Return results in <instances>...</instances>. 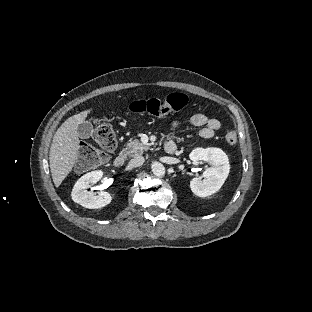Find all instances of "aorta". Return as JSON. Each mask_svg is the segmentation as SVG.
<instances>
[{"mask_svg":"<svg viewBox=\"0 0 312 312\" xmlns=\"http://www.w3.org/2000/svg\"><path fill=\"white\" fill-rule=\"evenodd\" d=\"M152 172L155 176L162 177L165 174V167L160 162H153L151 165Z\"/></svg>","mask_w":312,"mask_h":312,"instance_id":"1","label":"aorta"}]
</instances>
